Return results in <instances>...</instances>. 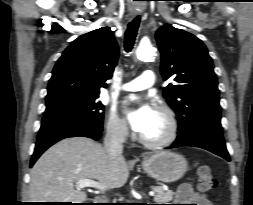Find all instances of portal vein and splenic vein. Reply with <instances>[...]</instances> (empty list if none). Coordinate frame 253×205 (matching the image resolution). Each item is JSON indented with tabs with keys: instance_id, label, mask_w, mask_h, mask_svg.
<instances>
[{
	"instance_id": "1",
	"label": "portal vein and splenic vein",
	"mask_w": 253,
	"mask_h": 205,
	"mask_svg": "<svg viewBox=\"0 0 253 205\" xmlns=\"http://www.w3.org/2000/svg\"><path fill=\"white\" fill-rule=\"evenodd\" d=\"M77 188L81 189V188H86V187H90V188H95V189H99V190H105V186H103L102 184H100L97 181L91 180V179H83V180H79L76 182ZM154 191H150L149 195L150 196H154Z\"/></svg>"
}]
</instances>
